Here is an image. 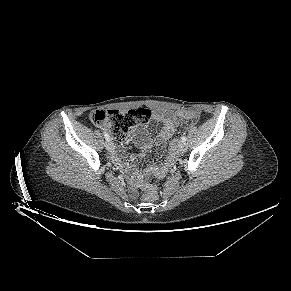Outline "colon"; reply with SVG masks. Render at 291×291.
<instances>
[{"mask_svg": "<svg viewBox=\"0 0 291 291\" xmlns=\"http://www.w3.org/2000/svg\"><path fill=\"white\" fill-rule=\"evenodd\" d=\"M177 116L184 119H197L199 114L193 110H181ZM150 117L149 109L138 108L128 111L97 110L91 114L90 119L95 125L104 127L112 139L122 142L135 127L147 123ZM143 190V197L146 200L152 201L157 198V189L153 184H145Z\"/></svg>", "mask_w": 291, "mask_h": 291, "instance_id": "5ec220e1", "label": "colon"}]
</instances>
